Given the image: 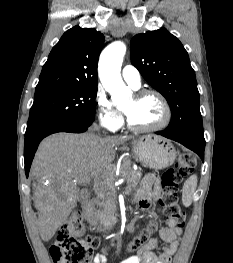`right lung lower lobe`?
Segmentation results:
<instances>
[{
	"mask_svg": "<svg viewBox=\"0 0 233 263\" xmlns=\"http://www.w3.org/2000/svg\"><path fill=\"white\" fill-rule=\"evenodd\" d=\"M94 117L80 119V120H69L63 122H57L48 126L42 127L30 134H25V145H24V161H25V173L28 177L30 166L34 158L35 152L38 148L39 143L46 136L56 132H73L81 133L88 129L93 123Z\"/></svg>",
	"mask_w": 233,
	"mask_h": 263,
	"instance_id": "right-lung-lower-lobe-1",
	"label": "right lung lower lobe"
}]
</instances>
